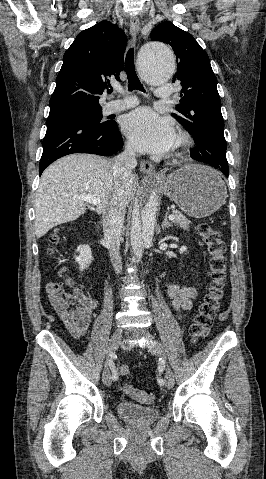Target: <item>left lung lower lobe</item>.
Masks as SVG:
<instances>
[{"instance_id": "left-lung-lower-lobe-1", "label": "left lung lower lobe", "mask_w": 266, "mask_h": 479, "mask_svg": "<svg viewBox=\"0 0 266 479\" xmlns=\"http://www.w3.org/2000/svg\"><path fill=\"white\" fill-rule=\"evenodd\" d=\"M216 168H218V167H216ZM218 169H219L222 173H224V175H225L226 177H228V175H229V167H224V166H222V167H219Z\"/></svg>"}]
</instances>
